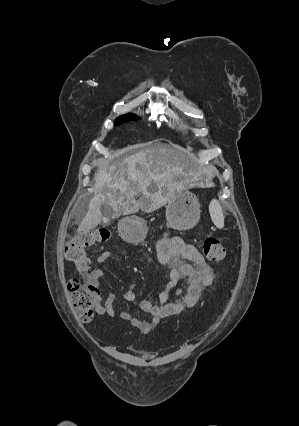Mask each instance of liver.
Returning a JSON list of instances; mask_svg holds the SVG:
<instances>
[{
  "label": "liver",
  "mask_w": 299,
  "mask_h": 426,
  "mask_svg": "<svg viewBox=\"0 0 299 426\" xmlns=\"http://www.w3.org/2000/svg\"><path fill=\"white\" fill-rule=\"evenodd\" d=\"M186 151L179 146L149 144L128 156L116 167L104 162L95 174L94 197L79 231H89L101 223V206L112 207L114 216L136 213L139 209L153 212L174 195L176 179L186 176ZM141 194L139 200L135 196Z\"/></svg>",
  "instance_id": "obj_1"
}]
</instances>
